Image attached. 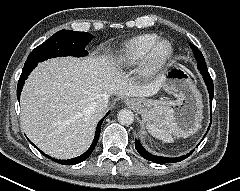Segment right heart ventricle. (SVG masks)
Returning a JSON list of instances; mask_svg holds the SVG:
<instances>
[{
	"instance_id": "obj_1",
	"label": "right heart ventricle",
	"mask_w": 240,
	"mask_h": 191,
	"mask_svg": "<svg viewBox=\"0 0 240 191\" xmlns=\"http://www.w3.org/2000/svg\"><path fill=\"white\" fill-rule=\"evenodd\" d=\"M159 39L155 33H146L126 41L118 50L116 62L120 66H132L140 62L151 45Z\"/></svg>"
}]
</instances>
